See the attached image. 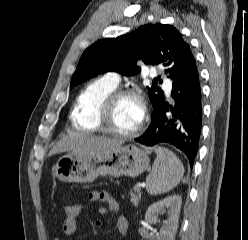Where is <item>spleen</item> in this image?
<instances>
[{
    "instance_id": "spleen-1",
    "label": "spleen",
    "mask_w": 248,
    "mask_h": 240,
    "mask_svg": "<svg viewBox=\"0 0 248 240\" xmlns=\"http://www.w3.org/2000/svg\"><path fill=\"white\" fill-rule=\"evenodd\" d=\"M157 157L152 171L146 178V189L150 195L169 192L176 187L183 178L184 167L178 157L169 149L156 147Z\"/></svg>"
}]
</instances>
